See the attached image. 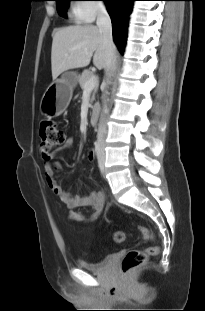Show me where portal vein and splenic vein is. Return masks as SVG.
<instances>
[{
	"mask_svg": "<svg viewBox=\"0 0 205 311\" xmlns=\"http://www.w3.org/2000/svg\"><path fill=\"white\" fill-rule=\"evenodd\" d=\"M98 84V78L94 75L89 81L86 82L84 91H91Z\"/></svg>",
	"mask_w": 205,
	"mask_h": 311,
	"instance_id": "portal-vein-and-splenic-vein-1",
	"label": "portal vein and splenic vein"
}]
</instances>
